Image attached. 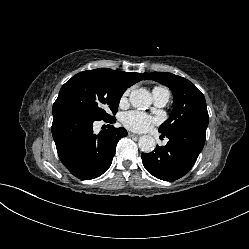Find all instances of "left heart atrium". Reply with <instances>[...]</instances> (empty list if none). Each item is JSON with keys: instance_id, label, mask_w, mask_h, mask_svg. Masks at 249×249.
<instances>
[{"instance_id": "obj_1", "label": "left heart atrium", "mask_w": 249, "mask_h": 249, "mask_svg": "<svg viewBox=\"0 0 249 249\" xmlns=\"http://www.w3.org/2000/svg\"><path fill=\"white\" fill-rule=\"evenodd\" d=\"M123 125L133 131H145L154 123V119L140 111H129L123 115Z\"/></svg>"}]
</instances>
